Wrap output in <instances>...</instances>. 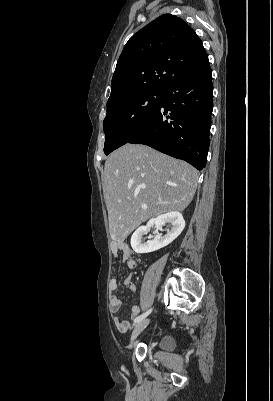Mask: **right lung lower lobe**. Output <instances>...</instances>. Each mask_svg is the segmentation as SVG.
<instances>
[{
  "label": "right lung lower lobe",
  "instance_id": "1",
  "mask_svg": "<svg viewBox=\"0 0 273 401\" xmlns=\"http://www.w3.org/2000/svg\"><path fill=\"white\" fill-rule=\"evenodd\" d=\"M212 94V71L207 63L170 84L158 108L127 143L148 145L203 169L209 149Z\"/></svg>",
  "mask_w": 273,
  "mask_h": 401
}]
</instances>
